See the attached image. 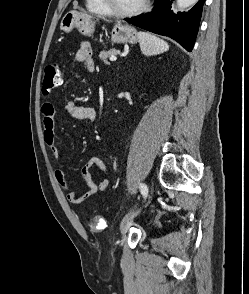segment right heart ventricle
I'll return each instance as SVG.
<instances>
[{
  "instance_id": "e07e8e85",
  "label": "right heart ventricle",
  "mask_w": 249,
  "mask_h": 294,
  "mask_svg": "<svg viewBox=\"0 0 249 294\" xmlns=\"http://www.w3.org/2000/svg\"><path fill=\"white\" fill-rule=\"evenodd\" d=\"M86 7L89 12L101 16L108 15L106 8L101 3V0H86Z\"/></svg>"
}]
</instances>
